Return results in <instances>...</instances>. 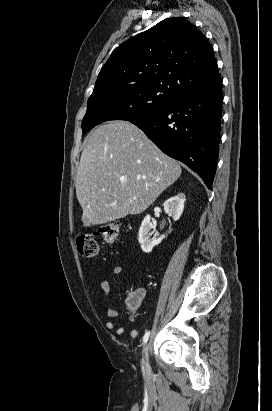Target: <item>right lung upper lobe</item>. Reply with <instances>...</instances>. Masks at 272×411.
Wrapping results in <instances>:
<instances>
[{"label": "right lung upper lobe", "instance_id": "right-lung-upper-lobe-1", "mask_svg": "<svg viewBox=\"0 0 272 411\" xmlns=\"http://www.w3.org/2000/svg\"><path fill=\"white\" fill-rule=\"evenodd\" d=\"M220 80L210 43L188 20L174 17L118 46L100 71L93 92L156 87L176 98Z\"/></svg>", "mask_w": 272, "mask_h": 411}]
</instances>
